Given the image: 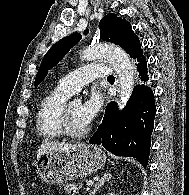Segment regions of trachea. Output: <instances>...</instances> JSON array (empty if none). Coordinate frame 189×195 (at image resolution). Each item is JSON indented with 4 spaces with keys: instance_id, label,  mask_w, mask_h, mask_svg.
<instances>
[{
    "instance_id": "1",
    "label": "trachea",
    "mask_w": 189,
    "mask_h": 195,
    "mask_svg": "<svg viewBox=\"0 0 189 195\" xmlns=\"http://www.w3.org/2000/svg\"><path fill=\"white\" fill-rule=\"evenodd\" d=\"M107 78H108V79H109V78H114V76H113V75H110V76H108Z\"/></svg>"
}]
</instances>
